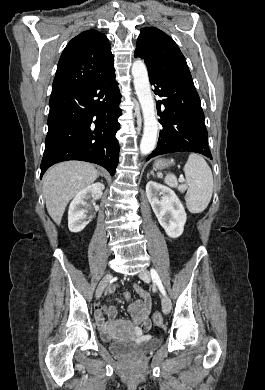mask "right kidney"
Wrapping results in <instances>:
<instances>
[{"label": "right kidney", "mask_w": 265, "mask_h": 390, "mask_svg": "<svg viewBox=\"0 0 265 390\" xmlns=\"http://www.w3.org/2000/svg\"><path fill=\"white\" fill-rule=\"evenodd\" d=\"M102 190H104V185L98 182L87 186L76 194L68 210V227L71 232L78 233L82 231L90 222V218L86 215L87 202L91 197L101 198Z\"/></svg>", "instance_id": "obj_1"}]
</instances>
